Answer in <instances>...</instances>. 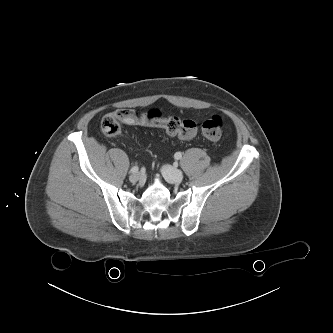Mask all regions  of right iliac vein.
<instances>
[{
    "instance_id": "right-iliac-vein-1",
    "label": "right iliac vein",
    "mask_w": 333,
    "mask_h": 333,
    "mask_svg": "<svg viewBox=\"0 0 333 333\" xmlns=\"http://www.w3.org/2000/svg\"><path fill=\"white\" fill-rule=\"evenodd\" d=\"M141 179V174L140 173H133L132 175H130L129 180L132 183H135L137 181H139Z\"/></svg>"
}]
</instances>
